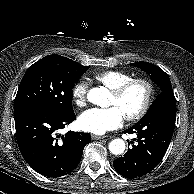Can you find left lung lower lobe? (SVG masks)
Instances as JSON below:
<instances>
[{
	"instance_id": "obj_1",
	"label": "left lung lower lobe",
	"mask_w": 194,
	"mask_h": 194,
	"mask_svg": "<svg viewBox=\"0 0 194 194\" xmlns=\"http://www.w3.org/2000/svg\"><path fill=\"white\" fill-rule=\"evenodd\" d=\"M176 104L153 108L124 133L137 134V145H132L123 157L113 161L115 170L130 179L152 171L164 157L175 128Z\"/></svg>"
}]
</instances>
